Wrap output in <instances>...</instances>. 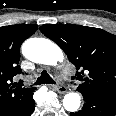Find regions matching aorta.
Wrapping results in <instances>:
<instances>
[{
  "mask_svg": "<svg viewBox=\"0 0 116 116\" xmlns=\"http://www.w3.org/2000/svg\"><path fill=\"white\" fill-rule=\"evenodd\" d=\"M22 54L29 60L44 65H56L63 61V52L49 39L30 38L22 45ZM81 104L78 93H68L63 98V106L69 112H76Z\"/></svg>",
  "mask_w": 116,
  "mask_h": 116,
  "instance_id": "1",
  "label": "aorta"
}]
</instances>
